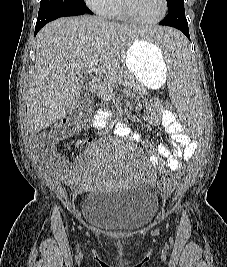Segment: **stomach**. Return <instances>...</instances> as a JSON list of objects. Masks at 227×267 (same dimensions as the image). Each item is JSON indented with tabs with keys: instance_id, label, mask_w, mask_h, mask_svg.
<instances>
[{
	"instance_id": "obj_1",
	"label": "stomach",
	"mask_w": 227,
	"mask_h": 267,
	"mask_svg": "<svg viewBox=\"0 0 227 267\" xmlns=\"http://www.w3.org/2000/svg\"><path fill=\"white\" fill-rule=\"evenodd\" d=\"M125 68L142 85L157 89L166 80L168 63L164 55H157L156 43H146L137 39L124 55Z\"/></svg>"
}]
</instances>
